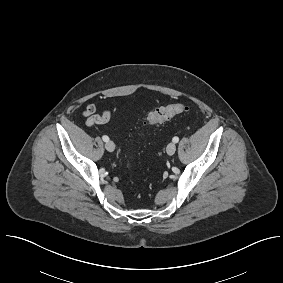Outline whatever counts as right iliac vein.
I'll use <instances>...</instances> for the list:
<instances>
[{
    "instance_id": "63e3f726",
    "label": "right iliac vein",
    "mask_w": 283,
    "mask_h": 283,
    "mask_svg": "<svg viewBox=\"0 0 283 283\" xmlns=\"http://www.w3.org/2000/svg\"><path fill=\"white\" fill-rule=\"evenodd\" d=\"M105 148L109 152H113L115 150V144L112 141H107L106 144H105Z\"/></svg>"
}]
</instances>
